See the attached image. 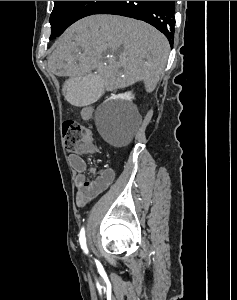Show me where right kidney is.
<instances>
[{
    "label": "right kidney",
    "mask_w": 237,
    "mask_h": 300,
    "mask_svg": "<svg viewBox=\"0 0 237 300\" xmlns=\"http://www.w3.org/2000/svg\"><path fill=\"white\" fill-rule=\"evenodd\" d=\"M119 99H126V101H132L134 99L132 93H124V95H117Z\"/></svg>",
    "instance_id": "right-kidney-1"
}]
</instances>
